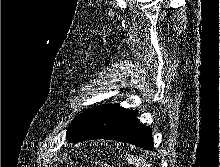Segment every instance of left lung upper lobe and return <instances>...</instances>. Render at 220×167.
Instances as JSON below:
<instances>
[{"mask_svg": "<svg viewBox=\"0 0 220 167\" xmlns=\"http://www.w3.org/2000/svg\"><path fill=\"white\" fill-rule=\"evenodd\" d=\"M107 106L102 105L96 108L89 109L84 113L80 114L69 126L67 130V138L69 142H74L80 139L87 130L96 121L98 116Z\"/></svg>", "mask_w": 220, "mask_h": 167, "instance_id": "5c2ea615", "label": "left lung upper lobe"}]
</instances>
